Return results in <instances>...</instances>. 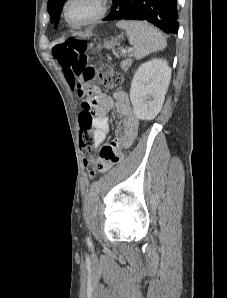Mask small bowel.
<instances>
[{"label": "small bowel", "mask_w": 227, "mask_h": 298, "mask_svg": "<svg viewBox=\"0 0 227 298\" xmlns=\"http://www.w3.org/2000/svg\"><path fill=\"white\" fill-rule=\"evenodd\" d=\"M103 68H108V63H103ZM90 102L94 103L91 108L95 109L91 111V114L95 115L92 124L94 149L102 145L110 131L111 122L107 113L114 111L121 120L120 134L93 158L95 167L100 171H106L110 167H116V162H122V151L134 143L138 135L139 122L133 114L128 95L123 91L113 94L91 91Z\"/></svg>", "instance_id": "c3829d8e"}]
</instances>
